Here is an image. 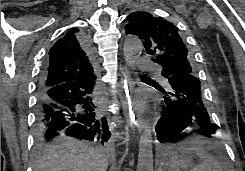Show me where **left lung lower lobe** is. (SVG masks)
I'll return each mask as SVG.
<instances>
[{
  "mask_svg": "<svg viewBox=\"0 0 245 171\" xmlns=\"http://www.w3.org/2000/svg\"><path fill=\"white\" fill-rule=\"evenodd\" d=\"M154 87L166 94L161 118L156 125L160 143H174L183 138V130L196 126L206 137L215 134L217 127L211 122L202 96L199 79L195 74L178 72L166 78V88Z\"/></svg>",
  "mask_w": 245,
  "mask_h": 171,
  "instance_id": "obj_1",
  "label": "left lung lower lobe"
}]
</instances>
